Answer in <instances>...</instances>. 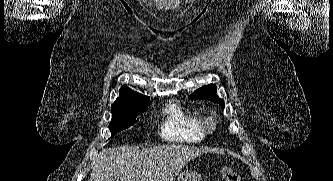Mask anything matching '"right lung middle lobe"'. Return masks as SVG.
Masks as SVG:
<instances>
[{"label":"right lung middle lobe","mask_w":333,"mask_h":181,"mask_svg":"<svg viewBox=\"0 0 333 181\" xmlns=\"http://www.w3.org/2000/svg\"><path fill=\"white\" fill-rule=\"evenodd\" d=\"M148 106L149 105L112 112V120L109 124L111 136L134 125V123L138 121L137 117L140 116Z\"/></svg>","instance_id":"obj_1"}]
</instances>
